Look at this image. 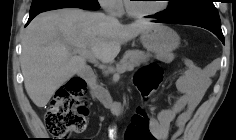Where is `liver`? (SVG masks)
Returning <instances> with one entry per match:
<instances>
[{
    "label": "liver",
    "instance_id": "6515ba94",
    "mask_svg": "<svg viewBox=\"0 0 236 140\" xmlns=\"http://www.w3.org/2000/svg\"><path fill=\"white\" fill-rule=\"evenodd\" d=\"M153 25L147 21L123 25L103 13L78 8L39 14L22 39L21 70L28 96L37 107H44L59 87L86 67L79 49H89L96 58L110 63L122 44Z\"/></svg>",
    "mask_w": 236,
    "mask_h": 140
}]
</instances>
